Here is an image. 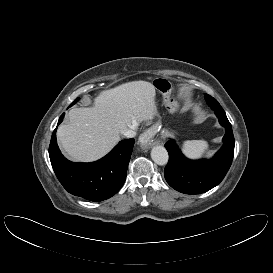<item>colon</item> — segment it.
<instances>
[{
  "label": "colon",
  "instance_id": "5ec220e1",
  "mask_svg": "<svg viewBox=\"0 0 273 273\" xmlns=\"http://www.w3.org/2000/svg\"><path fill=\"white\" fill-rule=\"evenodd\" d=\"M156 87L159 90H161L163 92H166V91H168L171 88V85H170V83L167 80L158 79V80H156Z\"/></svg>",
  "mask_w": 273,
  "mask_h": 273
}]
</instances>
